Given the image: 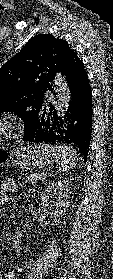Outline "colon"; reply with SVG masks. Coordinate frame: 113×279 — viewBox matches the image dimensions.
<instances>
[{"label":"colon","mask_w":113,"mask_h":279,"mask_svg":"<svg viewBox=\"0 0 113 279\" xmlns=\"http://www.w3.org/2000/svg\"><path fill=\"white\" fill-rule=\"evenodd\" d=\"M5 158V153L0 150V162L3 161Z\"/></svg>","instance_id":"obj_1"}]
</instances>
